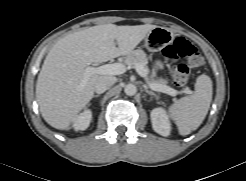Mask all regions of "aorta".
<instances>
[{"label":"aorta","instance_id":"762f6f07","mask_svg":"<svg viewBox=\"0 0 246 181\" xmlns=\"http://www.w3.org/2000/svg\"><path fill=\"white\" fill-rule=\"evenodd\" d=\"M124 92L128 96H133L136 94L137 88L134 84L129 83L124 86Z\"/></svg>","mask_w":246,"mask_h":181}]
</instances>
